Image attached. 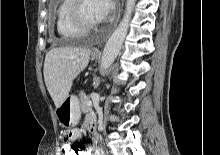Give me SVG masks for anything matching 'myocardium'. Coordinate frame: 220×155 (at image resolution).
I'll list each match as a JSON object with an SVG mask.
<instances>
[{"label": "myocardium", "mask_w": 220, "mask_h": 155, "mask_svg": "<svg viewBox=\"0 0 220 155\" xmlns=\"http://www.w3.org/2000/svg\"><path fill=\"white\" fill-rule=\"evenodd\" d=\"M82 2L83 0H72L69 8V19L75 27L87 32L95 29L98 26V22L89 21L84 17Z\"/></svg>", "instance_id": "obj_1"}]
</instances>
